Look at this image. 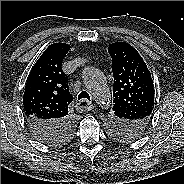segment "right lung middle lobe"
<instances>
[{"label":"right lung middle lobe","mask_w":184,"mask_h":184,"mask_svg":"<svg viewBox=\"0 0 184 184\" xmlns=\"http://www.w3.org/2000/svg\"><path fill=\"white\" fill-rule=\"evenodd\" d=\"M73 131H74V128H71L70 131L67 134H65V136H61V138L58 139V141L52 145H58V144L64 143L65 141H67L71 137V134L73 133Z\"/></svg>","instance_id":"obj_1"}]
</instances>
